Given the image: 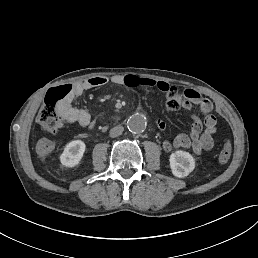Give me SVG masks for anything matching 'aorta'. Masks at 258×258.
I'll return each mask as SVG.
<instances>
[{"label": "aorta", "mask_w": 258, "mask_h": 258, "mask_svg": "<svg viewBox=\"0 0 258 258\" xmlns=\"http://www.w3.org/2000/svg\"><path fill=\"white\" fill-rule=\"evenodd\" d=\"M147 126V118L143 113H137L132 116L127 121V128L130 132L134 134H140L145 131Z\"/></svg>", "instance_id": "obj_1"}]
</instances>
